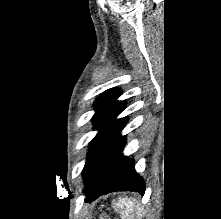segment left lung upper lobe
I'll use <instances>...</instances> for the list:
<instances>
[{
  "instance_id": "left-lung-upper-lobe-1",
  "label": "left lung upper lobe",
  "mask_w": 221,
  "mask_h": 219,
  "mask_svg": "<svg viewBox=\"0 0 221 219\" xmlns=\"http://www.w3.org/2000/svg\"><path fill=\"white\" fill-rule=\"evenodd\" d=\"M121 95L118 88H112L103 92L96 100V113L92 120L94 128L99 130V133L94 137L90 144L89 156L100 143V141L108 134V132L120 121L115 120V117L120 114L126 107L125 101H117Z\"/></svg>"
}]
</instances>
